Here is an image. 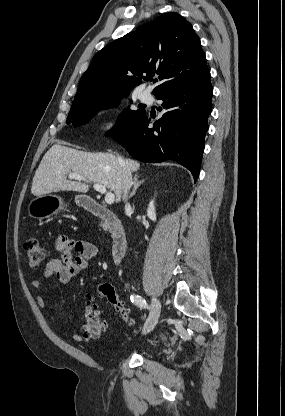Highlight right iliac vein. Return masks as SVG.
<instances>
[{
  "label": "right iliac vein",
  "instance_id": "63e3f726",
  "mask_svg": "<svg viewBox=\"0 0 285 416\" xmlns=\"http://www.w3.org/2000/svg\"><path fill=\"white\" fill-rule=\"evenodd\" d=\"M152 303L155 308H154V311L151 313L150 317L148 318V320L144 324L143 334H147L151 332L156 326L157 321L160 317L161 307H162L160 300L156 297H153Z\"/></svg>",
  "mask_w": 285,
  "mask_h": 416
}]
</instances>
